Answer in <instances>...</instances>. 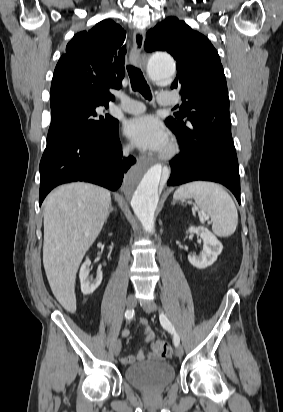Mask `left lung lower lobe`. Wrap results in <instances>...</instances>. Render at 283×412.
<instances>
[{
	"instance_id": "obj_1",
	"label": "left lung lower lobe",
	"mask_w": 283,
	"mask_h": 412,
	"mask_svg": "<svg viewBox=\"0 0 283 412\" xmlns=\"http://www.w3.org/2000/svg\"><path fill=\"white\" fill-rule=\"evenodd\" d=\"M181 153L170 162L172 173L167 184L180 185L194 180L214 181L226 186L240 203L238 160L211 155L202 140L192 132H174Z\"/></svg>"
}]
</instances>
